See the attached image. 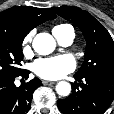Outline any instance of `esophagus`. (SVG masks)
<instances>
[{
	"instance_id": "34e87169",
	"label": "esophagus",
	"mask_w": 114,
	"mask_h": 114,
	"mask_svg": "<svg viewBox=\"0 0 114 114\" xmlns=\"http://www.w3.org/2000/svg\"><path fill=\"white\" fill-rule=\"evenodd\" d=\"M42 83H43L44 85H52V84H54L55 82H54V81L43 80Z\"/></svg>"
}]
</instances>
